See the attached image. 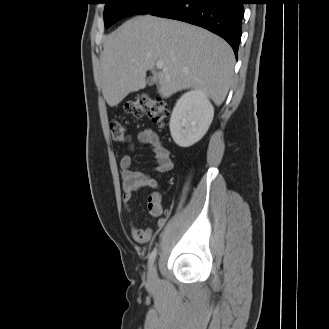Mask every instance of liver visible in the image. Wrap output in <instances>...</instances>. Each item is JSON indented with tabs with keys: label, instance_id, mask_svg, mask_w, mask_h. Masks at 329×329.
<instances>
[{
	"label": "liver",
	"instance_id": "6515ba94",
	"mask_svg": "<svg viewBox=\"0 0 329 329\" xmlns=\"http://www.w3.org/2000/svg\"><path fill=\"white\" fill-rule=\"evenodd\" d=\"M157 61L167 70L156 71ZM234 65L232 48L217 35L181 21L137 16L106 37L100 82L110 107L144 88L148 70L162 97L198 88L219 106L227 96Z\"/></svg>",
	"mask_w": 329,
	"mask_h": 329
}]
</instances>
